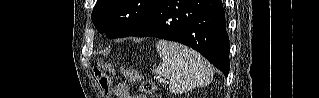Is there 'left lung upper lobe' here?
Masks as SVG:
<instances>
[{
  "mask_svg": "<svg viewBox=\"0 0 319 98\" xmlns=\"http://www.w3.org/2000/svg\"><path fill=\"white\" fill-rule=\"evenodd\" d=\"M160 0H97L92 21L110 39L132 35L149 19Z\"/></svg>",
  "mask_w": 319,
  "mask_h": 98,
  "instance_id": "obj_1",
  "label": "left lung upper lobe"
}]
</instances>
